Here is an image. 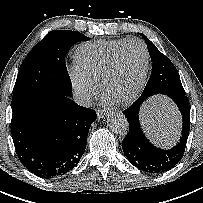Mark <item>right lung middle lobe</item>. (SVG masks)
Masks as SVG:
<instances>
[{"instance_id": "right-lung-middle-lobe-1", "label": "right lung middle lobe", "mask_w": 203, "mask_h": 203, "mask_svg": "<svg viewBox=\"0 0 203 203\" xmlns=\"http://www.w3.org/2000/svg\"><path fill=\"white\" fill-rule=\"evenodd\" d=\"M87 40L88 37L76 31L49 32L21 65L12 97V111L46 96H70L72 84L65 57L72 45Z\"/></svg>"}]
</instances>
